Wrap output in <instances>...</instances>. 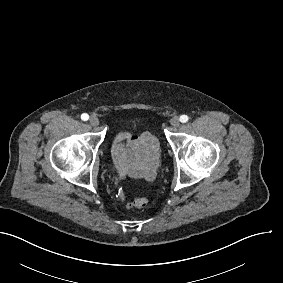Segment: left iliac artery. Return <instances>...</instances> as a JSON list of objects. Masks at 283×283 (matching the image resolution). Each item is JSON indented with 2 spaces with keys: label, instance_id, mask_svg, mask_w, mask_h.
I'll list each match as a JSON object with an SVG mask.
<instances>
[{
  "label": "left iliac artery",
  "instance_id": "44dca946",
  "mask_svg": "<svg viewBox=\"0 0 283 283\" xmlns=\"http://www.w3.org/2000/svg\"><path fill=\"white\" fill-rule=\"evenodd\" d=\"M180 121H181L182 123H186V122L188 121V116H187V115H182V116H180Z\"/></svg>",
  "mask_w": 283,
  "mask_h": 283
}]
</instances>
